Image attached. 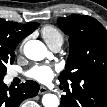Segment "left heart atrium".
<instances>
[{"label": "left heart atrium", "mask_w": 107, "mask_h": 107, "mask_svg": "<svg viewBox=\"0 0 107 107\" xmlns=\"http://www.w3.org/2000/svg\"><path fill=\"white\" fill-rule=\"evenodd\" d=\"M27 76L41 83H46L53 78L54 71L50 66L40 65L30 69Z\"/></svg>", "instance_id": "39dd6f15"}]
</instances>
